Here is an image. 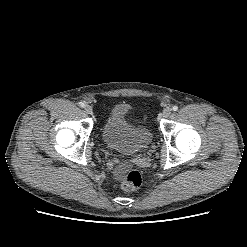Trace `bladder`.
Returning <instances> with one entry per match:
<instances>
[{"mask_svg":"<svg viewBox=\"0 0 247 247\" xmlns=\"http://www.w3.org/2000/svg\"><path fill=\"white\" fill-rule=\"evenodd\" d=\"M129 111L130 107L127 104L113 106L101 128L103 142L126 155L145 150L153 140L149 127L134 123L129 117Z\"/></svg>","mask_w":247,"mask_h":247,"instance_id":"obj_1","label":"bladder"}]
</instances>
